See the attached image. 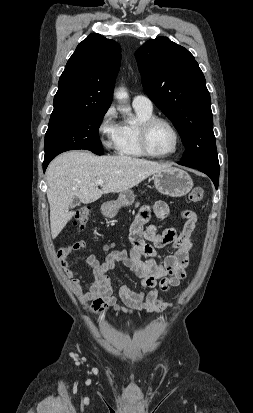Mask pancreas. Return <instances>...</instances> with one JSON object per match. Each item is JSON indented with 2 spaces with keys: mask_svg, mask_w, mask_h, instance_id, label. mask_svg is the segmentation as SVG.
I'll return each mask as SVG.
<instances>
[{
  "mask_svg": "<svg viewBox=\"0 0 253 413\" xmlns=\"http://www.w3.org/2000/svg\"><path fill=\"white\" fill-rule=\"evenodd\" d=\"M138 205H139V203H136V204H135V206H138Z\"/></svg>",
  "mask_w": 253,
  "mask_h": 413,
  "instance_id": "1",
  "label": "pancreas"
}]
</instances>
